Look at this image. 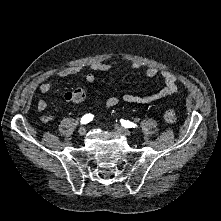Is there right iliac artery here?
I'll return each mask as SVG.
<instances>
[{
  "label": "right iliac artery",
  "instance_id": "obj_1",
  "mask_svg": "<svg viewBox=\"0 0 221 221\" xmlns=\"http://www.w3.org/2000/svg\"><path fill=\"white\" fill-rule=\"evenodd\" d=\"M94 118V115L92 114H85L82 118H81V123L82 124H87L89 123L90 121H92Z\"/></svg>",
  "mask_w": 221,
  "mask_h": 221
}]
</instances>
